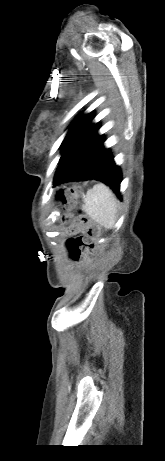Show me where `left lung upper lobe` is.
<instances>
[{
  "label": "left lung upper lobe",
  "instance_id": "5c2ea615",
  "mask_svg": "<svg viewBox=\"0 0 165 461\" xmlns=\"http://www.w3.org/2000/svg\"><path fill=\"white\" fill-rule=\"evenodd\" d=\"M93 112L84 116H79L73 121V125L62 142V156L59 162L65 155L74 147V145L95 125L92 124Z\"/></svg>",
  "mask_w": 165,
  "mask_h": 461
}]
</instances>
